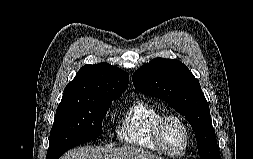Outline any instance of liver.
Returning a JSON list of instances; mask_svg holds the SVG:
<instances>
[{"instance_id":"liver-1","label":"liver","mask_w":253,"mask_h":159,"mask_svg":"<svg viewBox=\"0 0 253 159\" xmlns=\"http://www.w3.org/2000/svg\"><path fill=\"white\" fill-rule=\"evenodd\" d=\"M60 159H162L141 148L85 146L66 152Z\"/></svg>"}]
</instances>
